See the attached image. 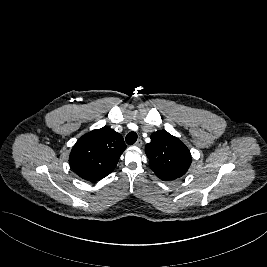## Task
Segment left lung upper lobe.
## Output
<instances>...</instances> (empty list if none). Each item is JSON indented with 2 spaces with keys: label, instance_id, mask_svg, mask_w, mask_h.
Returning <instances> with one entry per match:
<instances>
[{
  "label": "left lung upper lobe",
  "instance_id": "left-lung-upper-lobe-1",
  "mask_svg": "<svg viewBox=\"0 0 267 267\" xmlns=\"http://www.w3.org/2000/svg\"><path fill=\"white\" fill-rule=\"evenodd\" d=\"M145 151L151 169L165 181L183 176L192 160L189 149L177 137L163 130L152 133Z\"/></svg>",
  "mask_w": 267,
  "mask_h": 267
}]
</instances>
